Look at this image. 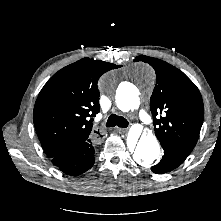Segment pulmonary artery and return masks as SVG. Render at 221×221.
I'll return each instance as SVG.
<instances>
[{
	"label": "pulmonary artery",
	"mask_w": 221,
	"mask_h": 221,
	"mask_svg": "<svg viewBox=\"0 0 221 221\" xmlns=\"http://www.w3.org/2000/svg\"><path fill=\"white\" fill-rule=\"evenodd\" d=\"M138 117L141 120V122L145 125H150L152 123L151 117L146 112H144L143 110H141L138 113Z\"/></svg>",
	"instance_id": "obj_1"
}]
</instances>
